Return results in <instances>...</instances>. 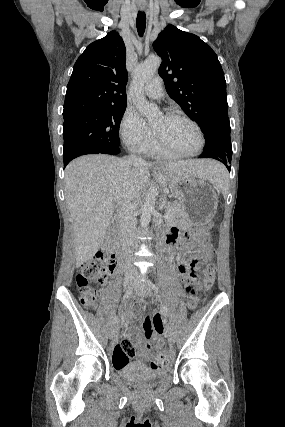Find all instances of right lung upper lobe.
Segmentation results:
<instances>
[{"instance_id":"obj_1","label":"right lung upper lobe","mask_w":285,"mask_h":427,"mask_svg":"<svg viewBox=\"0 0 285 427\" xmlns=\"http://www.w3.org/2000/svg\"><path fill=\"white\" fill-rule=\"evenodd\" d=\"M125 60L126 48L116 31L88 45L73 67L63 117L126 106Z\"/></svg>"}]
</instances>
